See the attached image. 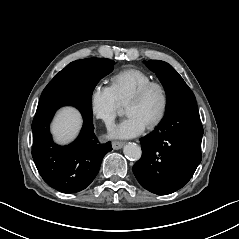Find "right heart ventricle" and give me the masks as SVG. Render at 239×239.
Returning a JSON list of instances; mask_svg holds the SVG:
<instances>
[{"label":"right heart ventricle","instance_id":"1","mask_svg":"<svg viewBox=\"0 0 239 239\" xmlns=\"http://www.w3.org/2000/svg\"><path fill=\"white\" fill-rule=\"evenodd\" d=\"M111 86L122 104H126L131 95L142 85L152 81L149 73L138 68H127L110 77Z\"/></svg>","mask_w":239,"mask_h":239}]
</instances>
